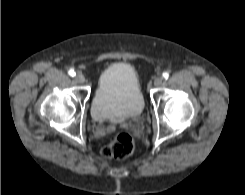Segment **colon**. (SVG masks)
Segmentation results:
<instances>
[{
  "label": "colon",
  "mask_w": 245,
  "mask_h": 195,
  "mask_svg": "<svg viewBox=\"0 0 245 195\" xmlns=\"http://www.w3.org/2000/svg\"><path fill=\"white\" fill-rule=\"evenodd\" d=\"M134 148L133 136L127 132H119L101 149V154L106 158L124 159L134 151Z\"/></svg>",
  "instance_id": "5ec220e1"
}]
</instances>
